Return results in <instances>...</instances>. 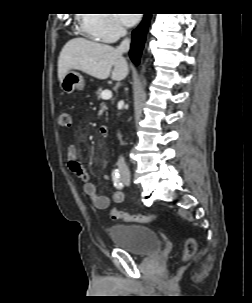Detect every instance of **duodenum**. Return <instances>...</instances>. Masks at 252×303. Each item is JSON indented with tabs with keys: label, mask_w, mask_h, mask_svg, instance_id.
<instances>
[{
	"label": "duodenum",
	"mask_w": 252,
	"mask_h": 303,
	"mask_svg": "<svg viewBox=\"0 0 252 303\" xmlns=\"http://www.w3.org/2000/svg\"><path fill=\"white\" fill-rule=\"evenodd\" d=\"M109 129L108 126L102 125L99 128V133L101 137H106L108 135Z\"/></svg>",
	"instance_id": "1"
}]
</instances>
